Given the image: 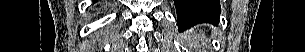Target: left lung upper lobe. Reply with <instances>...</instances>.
Segmentation results:
<instances>
[{"instance_id":"obj_1","label":"left lung upper lobe","mask_w":305,"mask_h":52,"mask_svg":"<svg viewBox=\"0 0 305 52\" xmlns=\"http://www.w3.org/2000/svg\"><path fill=\"white\" fill-rule=\"evenodd\" d=\"M177 17L179 25H193L207 19V13L200 11L199 9L192 8L177 14Z\"/></svg>"}]
</instances>
